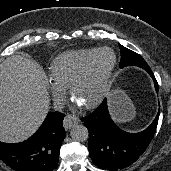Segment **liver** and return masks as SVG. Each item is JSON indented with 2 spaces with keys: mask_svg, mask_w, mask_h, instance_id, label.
Here are the masks:
<instances>
[{
  "mask_svg": "<svg viewBox=\"0 0 171 171\" xmlns=\"http://www.w3.org/2000/svg\"><path fill=\"white\" fill-rule=\"evenodd\" d=\"M49 104L45 73L34 61L13 55L0 64V141L29 138L44 121Z\"/></svg>",
  "mask_w": 171,
  "mask_h": 171,
  "instance_id": "liver-1",
  "label": "liver"
}]
</instances>
